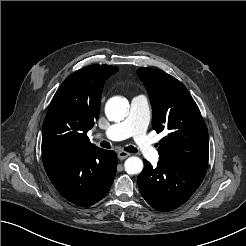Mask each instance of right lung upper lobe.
Wrapping results in <instances>:
<instances>
[{"instance_id": "1", "label": "right lung upper lobe", "mask_w": 246, "mask_h": 246, "mask_svg": "<svg viewBox=\"0 0 246 246\" xmlns=\"http://www.w3.org/2000/svg\"><path fill=\"white\" fill-rule=\"evenodd\" d=\"M119 68L90 65L69 75L55 93L43 124L42 160L98 147L87 132L99 117L105 80Z\"/></svg>"}]
</instances>
